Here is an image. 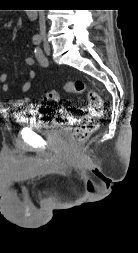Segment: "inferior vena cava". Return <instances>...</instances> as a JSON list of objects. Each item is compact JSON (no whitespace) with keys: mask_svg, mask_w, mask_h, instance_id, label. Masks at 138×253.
Wrapping results in <instances>:
<instances>
[{"mask_svg":"<svg viewBox=\"0 0 138 253\" xmlns=\"http://www.w3.org/2000/svg\"><path fill=\"white\" fill-rule=\"evenodd\" d=\"M39 26H40V34L44 38L46 34V22L44 10H39Z\"/></svg>","mask_w":138,"mask_h":253,"instance_id":"1","label":"inferior vena cava"}]
</instances>
